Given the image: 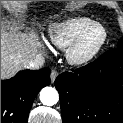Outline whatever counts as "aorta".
Returning a JSON list of instances; mask_svg holds the SVG:
<instances>
[{
  "instance_id": "obj_1",
  "label": "aorta",
  "mask_w": 123,
  "mask_h": 123,
  "mask_svg": "<svg viewBox=\"0 0 123 123\" xmlns=\"http://www.w3.org/2000/svg\"><path fill=\"white\" fill-rule=\"evenodd\" d=\"M59 100L58 92L55 88L45 87L40 92V101L47 106L55 105Z\"/></svg>"
}]
</instances>
